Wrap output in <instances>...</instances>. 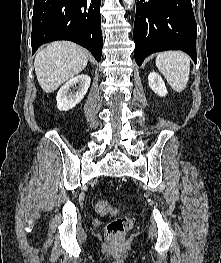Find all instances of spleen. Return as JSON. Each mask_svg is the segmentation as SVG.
<instances>
[{"instance_id": "obj_1", "label": "spleen", "mask_w": 221, "mask_h": 263, "mask_svg": "<svg viewBox=\"0 0 221 263\" xmlns=\"http://www.w3.org/2000/svg\"><path fill=\"white\" fill-rule=\"evenodd\" d=\"M155 63L173 90L182 92L186 88L190 74L188 55L181 51H165L157 55Z\"/></svg>"}]
</instances>
